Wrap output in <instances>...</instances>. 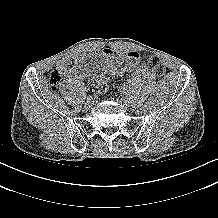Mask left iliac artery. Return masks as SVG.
I'll return each mask as SVG.
<instances>
[{
    "label": "left iliac artery",
    "mask_w": 218,
    "mask_h": 218,
    "mask_svg": "<svg viewBox=\"0 0 218 218\" xmlns=\"http://www.w3.org/2000/svg\"><path fill=\"white\" fill-rule=\"evenodd\" d=\"M122 93H123L124 96L129 97V99H130L131 95H130L129 92L124 90Z\"/></svg>",
    "instance_id": "obj_1"
}]
</instances>
